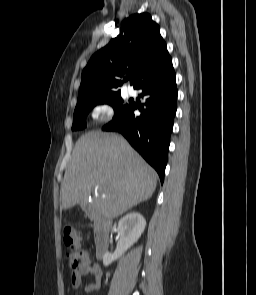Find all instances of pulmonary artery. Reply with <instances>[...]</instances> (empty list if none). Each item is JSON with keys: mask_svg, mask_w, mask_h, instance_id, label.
<instances>
[{"mask_svg": "<svg viewBox=\"0 0 256 295\" xmlns=\"http://www.w3.org/2000/svg\"><path fill=\"white\" fill-rule=\"evenodd\" d=\"M127 93H128L130 96H132V95L135 94V91H134L132 88H128V89H127Z\"/></svg>", "mask_w": 256, "mask_h": 295, "instance_id": "obj_1", "label": "pulmonary artery"}]
</instances>
